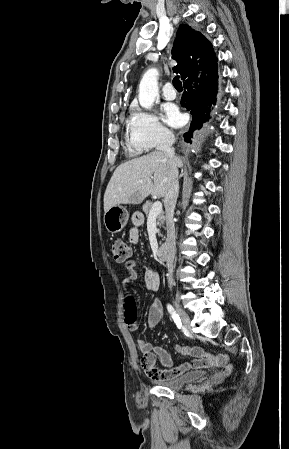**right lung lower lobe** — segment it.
I'll return each instance as SVG.
<instances>
[{
	"instance_id": "98d812e1",
	"label": "right lung lower lobe",
	"mask_w": 289,
	"mask_h": 449,
	"mask_svg": "<svg viewBox=\"0 0 289 449\" xmlns=\"http://www.w3.org/2000/svg\"><path fill=\"white\" fill-rule=\"evenodd\" d=\"M217 64L209 69L205 76L184 83V93L181 105L186 107L192 115L193 121L189 133H185V141L190 142L193 130L201 128L202 124L209 119L208 107L215 103L218 87Z\"/></svg>"
}]
</instances>
